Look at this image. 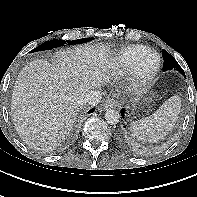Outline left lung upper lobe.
Wrapping results in <instances>:
<instances>
[{"label": "left lung upper lobe", "mask_w": 197, "mask_h": 197, "mask_svg": "<svg viewBox=\"0 0 197 197\" xmlns=\"http://www.w3.org/2000/svg\"><path fill=\"white\" fill-rule=\"evenodd\" d=\"M162 56L164 59L163 71L175 69L185 76L183 69L172 55H170L167 51L162 50Z\"/></svg>", "instance_id": "1"}]
</instances>
